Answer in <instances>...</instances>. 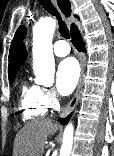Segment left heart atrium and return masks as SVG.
Instances as JSON below:
<instances>
[{
	"mask_svg": "<svg viewBox=\"0 0 114 156\" xmlns=\"http://www.w3.org/2000/svg\"><path fill=\"white\" fill-rule=\"evenodd\" d=\"M80 75L76 59L69 57L62 60L57 68L56 87L60 94L69 95L77 85Z\"/></svg>",
	"mask_w": 114,
	"mask_h": 156,
	"instance_id": "obj_1",
	"label": "left heart atrium"
}]
</instances>
